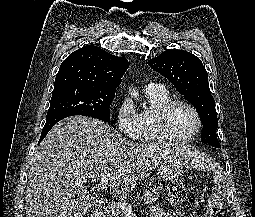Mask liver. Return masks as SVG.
Segmentation results:
<instances>
[{
    "mask_svg": "<svg viewBox=\"0 0 255 217\" xmlns=\"http://www.w3.org/2000/svg\"><path fill=\"white\" fill-rule=\"evenodd\" d=\"M173 150L199 158L188 146L134 143L97 119L66 118L35 151L26 189V217H84L92 206L85 180L106 177L115 192L128 193Z\"/></svg>",
    "mask_w": 255,
    "mask_h": 217,
    "instance_id": "obj_1",
    "label": "liver"
}]
</instances>
